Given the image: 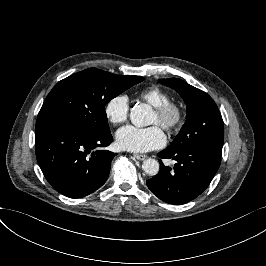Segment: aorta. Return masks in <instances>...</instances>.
<instances>
[{
  "mask_svg": "<svg viewBox=\"0 0 266 266\" xmlns=\"http://www.w3.org/2000/svg\"><path fill=\"white\" fill-rule=\"evenodd\" d=\"M151 110L146 104H136L130 110V119L133 125L137 127L149 126L153 123ZM143 172L148 176H156L159 173L160 166L155 159H147L142 165Z\"/></svg>",
  "mask_w": 266,
  "mask_h": 266,
  "instance_id": "obj_1",
  "label": "aorta"
}]
</instances>
